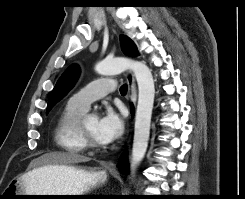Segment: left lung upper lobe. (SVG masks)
Masks as SVG:
<instances>
[{
    "label": "left lung upper lobe",
    "instance_id": "left-lung-upper-lobe-1",
    "mask_svg": "<svg viewBox=\"0 0 245 199\" xmlns=\"http://www.w3.org/2000/svg\"><path fill=\"white\" fill-rule=\"evenodd\" d=\"M120 41L122 51L125 55L131 57H136L139 55L136 46L128 37L121 36ZM79 72V68L76 65H72L62 74V76L60 77L50 94L46 111L47 113L73 87L74 83L76 82L79 76Z\"/></svg>",
    "mask_w": 245,
    "mask_h": 199
}]
</instances>
